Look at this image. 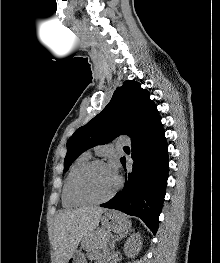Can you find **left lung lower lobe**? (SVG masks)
<instances>
[{"label":"left lung lower lobe","instance_id":"0a47b994","mask_svg":"<svg viewBox=\"0 0 220 263\" xmlns=\"http://www.w3.org/2000/svg\"><path fill=\"white\" fill-rule=\"evenodd\" d=\"M133 169L126 173L125 186L101 207L141 218L156 234L168 178V146L161 117L140 136L131 140ZM126 171V159L121 161Z\"/></svg>","mask_w":220,"mask_h":263}]
</instances>
